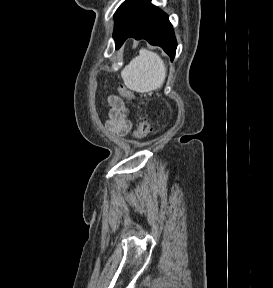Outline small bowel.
I'll list each match as a JSON object with an SVG mask.
<instances>
[{"label": "small bowel", "instance_id": "obj_1", "mask_svg": "<svg viewBox=\"0 0 273 288\" xmlns=\"http://www.w3.org/2000/svg\"><path fill=\"white\" fill-rule=\"evenodd\" d=\"M108 120L106 128L119 136L127 135L132 128L131 111L122 98L116 95L108 97Z\"/></svg>", "mask_w": 273, "mask_h": 288}]
</instances>
